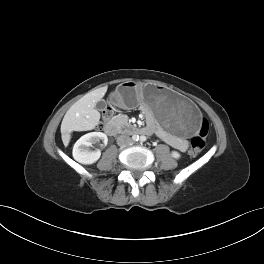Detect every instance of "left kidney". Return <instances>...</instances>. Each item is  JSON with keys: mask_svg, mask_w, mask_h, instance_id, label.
I'll use <instances>...</instances> for the list:
<instances>
[{"mask_svg": "<svg viewBox=\"0 0 264 264\" xmlns=\"http://www.w3.org/2000/svg\"><path fill=\"white\" fill-rule=\"evenodd\" d=\"M171 155H172V157L175 158V159H179V158H180V154H179V152H177V151H172Z\"/></svg>", "mask_w": 264, "mask_h": 264, "instance_id": "5707ae66", "label": "left kidney"}]
</instances>
